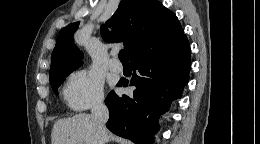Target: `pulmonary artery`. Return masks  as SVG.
Instances as JSON below:
<instances>
[{
	"label": "pulmonary artery",
	"mask_w": 260,
	"mask_h": 144,
	"mask_svg": "<svg viewBox=\"0 0 260 144\" xmlns=\"http://www.w3.org/2000/svg\"><path fill=\"white\" fill-rule=\"evenodd\" d=\"M109 68L112 70V71H115V72H122L123 70V66L122 64L115 58H112L110 61H109Z\"/></svg>",
	"instance_id": "e3ab8cb5"
}]
</instances>
